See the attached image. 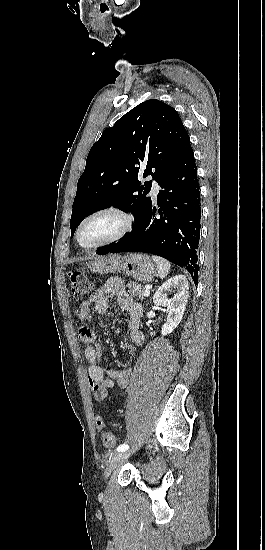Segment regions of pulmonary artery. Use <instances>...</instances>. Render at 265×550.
Returning a JSON list of instances; mask_svg holds the SVG:
<instances>
[{"instance_id": "pulmonary-artery-1", "label": "pulmonary artery", "mask_w": 265, "mask_h": 550, "mask_svg": "<svg viewBox=\"0 0 265 550\" xmlns=\"http://www.w3.org/2000/svg\"><path fill=\"white\" fill-rule=\"evenodd\" d=\"M158 193H159V185L155 180H153L152 181L151 196L155 199L158 196Z\"/></svg>"}]
</instances>
